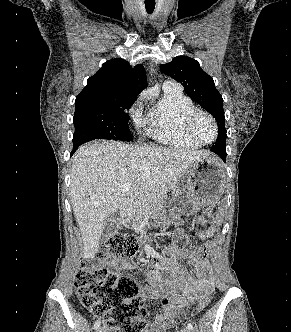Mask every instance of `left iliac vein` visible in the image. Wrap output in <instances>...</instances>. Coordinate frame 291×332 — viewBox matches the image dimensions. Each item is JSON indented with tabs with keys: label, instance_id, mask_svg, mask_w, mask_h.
Listing matches in <instances>:
<instances>
[{
	"label": "left iliac vein",
	"instance_id": "4c4485c4",
	"mask_svg": "<svg viewBox=\"0 0 291 332\" xmlns=\"http://www.w3.org/2000/svg\"><path fill=\"white\" fill-rule=\"evenodd\" d=\"M181 332H190V330L188 328H184L181 330Z\"/></svg>",
	"mask_w": 291,
	"mask_h": 332
}]
</instances>
